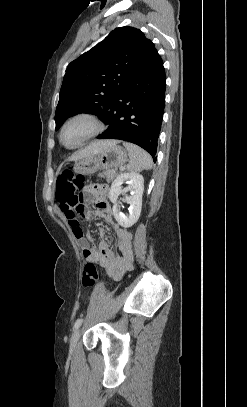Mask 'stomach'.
<instances>
[{"label":"stomach","instance_id":"0dacf381","mask_svg":"<svg viewBox=\"0 0 247 407\" xmlns=\"http://www.w3.org/2000/svg\"><path fill=\"white\" fill-rule=\"evenodd\" d=\"M127 151L117 145H110L97 154L76 161L73 170L76 174L90 175L97 170H109L122 166L127 161Z\"/></svg>","mask_w":247,"mask_h":407}]
</instances>
